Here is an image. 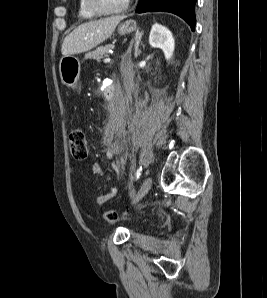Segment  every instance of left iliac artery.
Listing matches in <instances>:
<instances>
[{"instance_id":"obj_1","label":"left iliac artery","mask_w":267,"mask_h":298,"mask_svg":"<svg viewBox=\"0 0 267 298\" xmlns=\"http://www.w3.org/2000/svg\"><path fill=\"white\" fill-rule=\"evenodd\" d=\"M141 172H142V167H139L135 173V178L136 180L139 179L140 175H141Z\"/></svg>"}]
</instances>
